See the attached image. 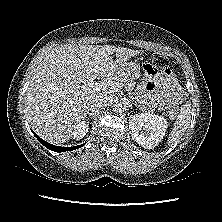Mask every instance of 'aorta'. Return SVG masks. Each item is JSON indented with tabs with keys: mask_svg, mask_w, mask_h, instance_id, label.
<instances>
[{
	"mask_svg": "<svg viewBox=\"0 0 222 222\" xmlns=\"http://www.w3.org/2000/svg\"><path fill=\"white\" fill-rule=\"evenodd\" d=\"M124 105L122 104V102H115L112 106V111L114 113H122L124 111Z\"/></svg>",
	"mask_w": 222,
	"mask_h": 222,
	"instance_id": "762f6f07",
	"label": "aorta"
}]
</instances>
